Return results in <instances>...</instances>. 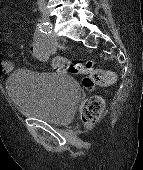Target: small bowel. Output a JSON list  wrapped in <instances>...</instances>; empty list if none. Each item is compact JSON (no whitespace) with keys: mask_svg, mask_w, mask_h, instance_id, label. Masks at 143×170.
Here are the masks:
<instances>
[{"mask_svg":"<svg viewBox=\"0 0 143 170\" xmlns=\"http://www.w3.org/2000/svg\"><path fill=\"white\" fill-rule=\"evenodd\" d=\"M2 18V9H0V19ZM30 51L39 60H47L50 57L48 50L42 49L38 44L33 43L30 46ZM52 66L57 69V60H54ZM13 70L11 62L6 60L0 61V76L10 73Z\"/></svg>","mask_w":143,"mask_h":170,"instance_id":"small-bowel-1","label":"small bowel"}]
</instances>
